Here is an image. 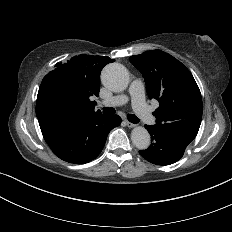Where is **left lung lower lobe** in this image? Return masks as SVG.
<instances>
[{
    "label": "left lung lower lobe",
    "mask_w": 232,
    "mask_h": 232,
    "mask_svg": "<svg viewBox=\"0 0 232 232\" xmlns=\"http://www.w3.org/2000/svg\"><path fill=\"white\" fill-rule=\"evenodd\" d=\"M151 136V145L146 150H140V155L156 165H170L178 161L187 147L182 141L145 125Z\"/></svg>",
    "instance_id": "0a47b994"
}]
</instances>
